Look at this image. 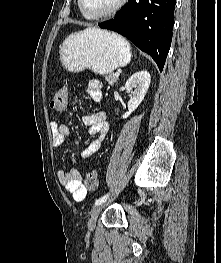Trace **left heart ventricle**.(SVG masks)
Segmentation results:
<instances>
[{
  "label": "left heart ventricle",
  "instance_id": "1",
  "mask_svg": "<svg viewBox=\"0 0 221 263\" xmlns=\"http://www.w3.org/2000/svg\"><path fill=\"white\" fill-rule=\"evenodd\" d=\"M86 10L92 14L103 13L112 8L118 0H83Z\"/></svg>",
  "mask_w": 221,
  "mask_h": 263
}]
</instances>
